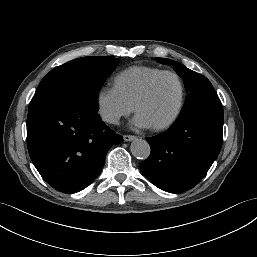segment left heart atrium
<instances>
[{"label": "left heart atrium", "mask_w": 257, "mask_h": 257, "mask_svg": "<svg viewBox=\"0 0 257 257\" xmlns=\"http://www.w3.org/2000/svg\"><path fill=\"white\" fill-rule=\"evenodd\" d=\"M133 125L138 128H148L151 126L150 122L141 114L137 113L133 119Z\"/></svg>", "instance_id": "1"}]
</instances>
